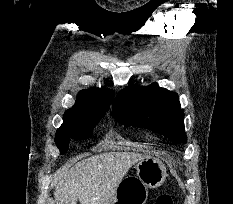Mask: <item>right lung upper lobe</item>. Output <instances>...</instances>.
<instances>
[{"mask_svg":"<svg viewBox=\"0 0 233 204\" xmlns=\"http://www.w3.org/2000/svg\"><path fill=\"white\" fill-rule=\"evenodd\" d=\"M114 97L113 90L90 88L78 93L75 106L67 110L63 117V124L59 129L71 123L94 116H104ZM58 129V130H59Z\"/></svg>","mask_w":233,"mask_h":204,"instance_id":"1","label":"right lung upper lobe"}]
</instances>
